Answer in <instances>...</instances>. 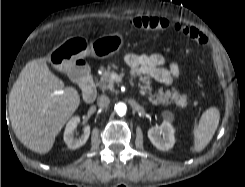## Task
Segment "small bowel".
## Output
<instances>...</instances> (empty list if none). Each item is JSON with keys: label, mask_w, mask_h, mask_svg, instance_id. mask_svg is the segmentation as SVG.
I'll list each match as a JSON object with an SVG mask.
<instances>
[{"label": "small bowel", "mask_w": 245, "mask_h": 187, "mask_svg": "<svg viewBox=\"0 0 245 187\" xmlns=\"http://www.w3.org/2000/svg\"><path fill=\"white\" fill-rule=\"evenodd\" d=\"M125 62L131 69V75L134 78L147 75L157 82L169 84L179 75L177 63L171 62L166 67L165 60L158 54L148 56L128 54L125 57Z\"/></svg>", "instance_id": "small-bowel-1"}]
</instances>
